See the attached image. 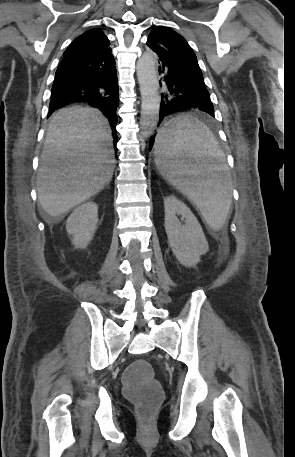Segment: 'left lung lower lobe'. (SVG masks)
Instances as JSON below:
<instances>
[{"label":"left lung lower lobe","instance_id":"1","mask_svg":"<svg viewBox=\"0 0 295 457\" xmlns=\"http://www.w3.org/2000/svg\"><path fill=\"white\" fill-rule=\"evenodd\" d=\"M147 45L158 57L159 73L167 86L166 93L162 94L158 125L165 116L187 109H199L214 117L213 104L201 69L154 42L147 41ZM154 138L150 139V149L155 142Z\"/></svg>","mask_w":295,"mask_h":457}]
</instances>
